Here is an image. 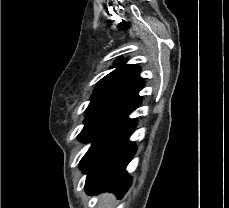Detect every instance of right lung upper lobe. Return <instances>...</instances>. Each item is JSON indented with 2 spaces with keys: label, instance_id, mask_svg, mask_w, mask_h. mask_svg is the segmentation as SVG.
Wrapping results in <instances>:
<instances>
[{
  "label": "right lung upper lobe",
  "instance_id": "right-lung-upper-lobe-1",
  "mask_svg": "<svg viewBox=\"0 0 229 208\" xmlns=\"http://www.w3.org/2000/svg\"><path fill=\"white\" fill-rule=\"evenodd\" d=\"M127 59H119L114 63V71L102 78L96 85L91 102L100 100H121L141 104L139 91L145 86L139 73L138 65L125 64Z\"/></svg>",
  "mask_w": 229,
  "mask_h": 208
}]
</instances>
